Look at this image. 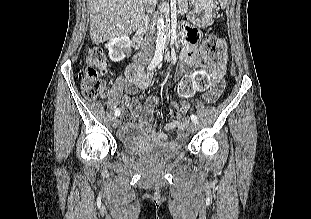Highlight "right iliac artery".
<instances>
[{
	"label": "right iliac artery",
	"instance_id": "1",
	"mask_svg": "<svg viewBox=\"0 0 311 219\" xmlns=\"http://www.w3.org/2000/svg\"><path fill=\"white\" fill-rule=\"evenodd\" d=\"M162 53H163V51L161 49L156 50L155 56H154L153 60L151 61V63L148 66L149 70H152L153 68H155L161 62V60H162ZM120 113H121L120 109L117 108L115 110V116L116 117L119 116Z\"/></svg>",
	"mask_w": 311,
	"mask_h": 219
}]
</instances>
